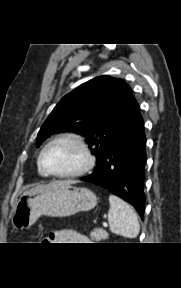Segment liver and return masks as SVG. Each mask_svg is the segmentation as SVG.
Masks as SVG:
<instances>
[{"label":"liver","mask_w":181,"mask_h":288,"mask_svg":"<svg viewBox=\"0 0 181 288\" xmlns=\"http://www.w3.org/2000/svg\"><path fill=\"white\" fill-rule=\"evenodd\" d=\"M65 183H75L74 181H63ZM45 186L44 185H38L35 188L30 189L29 191L25 192V193H30V192H36L38 190L43 189Z\"/></svg>","instance_id":"1"}]
</instances>
